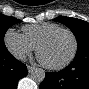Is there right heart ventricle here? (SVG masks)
<instances>
[{
    "label": "right heart ventricle",
    "instance_id": "obj_1",
    "mask_svg": "<svg viewBox=\"0 0 89 89\" xmlns=\"http://www.w3.org/2000/svg\"><path fill=\"white\" fill-rule=\"evenodd\" d=\"M60 28L56 23L29 24L22 27V34L35 47L47 33Z\"/></svg>",
    "mask_w": 89,
    "mask_h": 89
}]
</instances>
